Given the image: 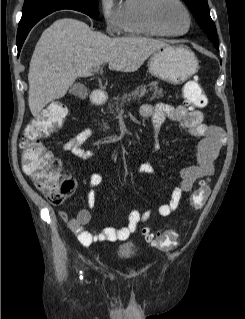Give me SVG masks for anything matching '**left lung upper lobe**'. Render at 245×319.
Returning a JSON list of instances; mask_svg holds the SVG:
<instances>
[{
    "label": "left lung upper lobe",
    "instance_id": "obj_1",
    "mask_svg": "<svg viewBox=\"0 0 245 319\" xmlns=\"http://www.w3.org/2000/svg\"><path fill=\"white\" fill-rule=\"evenodd\" d=\"M195 16L199 26L213 42L214 46L219 49L217 30L209 14L207 0H183Z\"/></svg>",
    "mask_w": 245,
    "mask_h": 319
}]
</instances>
